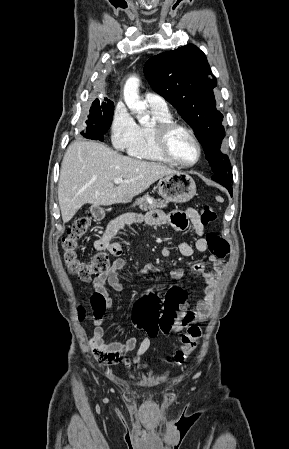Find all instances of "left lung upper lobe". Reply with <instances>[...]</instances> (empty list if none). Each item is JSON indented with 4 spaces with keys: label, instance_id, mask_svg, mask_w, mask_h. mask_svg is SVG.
<instances>
[{
    "label": "left lung upper lobe",
    "instance_id": "1",
    "mask_svg": "<svg viewBox=\"0 0 289 449\" xmlns=\"http://www.w3.org/2000/svg\"><path fill=\"white\" fill-rule=\"evenodd\" d=\"M144 74L152 89L170 102L192 127L202 144L206 159L220 184L231 183L233 176L228 156L220 150L225 137L223 115L216 109L212 75L205 54L188 44L150 58Z\"/></svg>",
    "mask_w": 289,
    "mask_h": 449
}]
</instances>
